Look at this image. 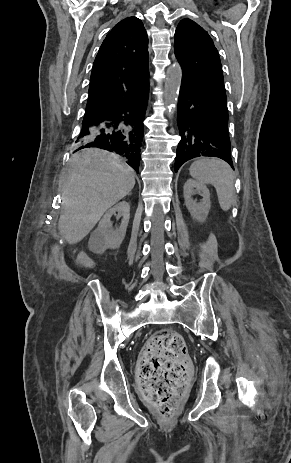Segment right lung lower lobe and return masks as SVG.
<instances>
[{
	"mask_svg": "<svg viewBox=\"0 0 291 463\" xmlns=\"http://www.w3.org/2000/svg\"><path fill=\"white\" fill-rule=\"evenodd\" d=\"M148 96L149 85L126 98L119 107L89 121L83 119L76 141L78 150L97 147L111 151L138 172Z\"/></svg>",
	"mask_w": 291,
	"mask_h": 463,
	"instance_id": "obj_1",
	"label": "right lung lower lobe"
}]
</instances>
